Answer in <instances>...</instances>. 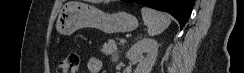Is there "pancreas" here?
Masks as SVG:
<instances>
[{"label":"pancreas","instance_id":"pancreas-1","mask_svg":"<svg viewBox=\"0 0 244 73\" xmlns=\"http://www.w3.org/2000/svg\"><path fill=\"white\" fill-rule=\"evenodd\" d=\"M116 51H117V44L115 43L114 40H109L105 42L101 48V52L106 56L108 55L113 56Z\"/></svg>","mask_w":244,"mask_h":73}]
</instances>
